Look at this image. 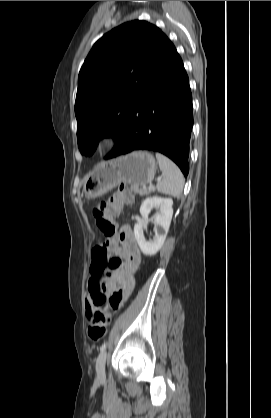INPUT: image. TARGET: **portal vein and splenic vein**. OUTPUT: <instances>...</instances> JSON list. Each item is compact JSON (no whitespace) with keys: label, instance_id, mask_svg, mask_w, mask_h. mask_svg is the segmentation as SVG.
<instances>
[{"label":"portal vein and splenic vein","instance_id":"18ae733b","mask_svg":"<svg viewBox=\"0 0 271 418\" xmlns=\"http://www.w3.org/2000/svg\"><path fill=\"white\" fill-rule=\"evenodd\" d=\"M160 180H161V178H158V179H157V181H160ZM152 188H153V185H152V184H150V185H149V189H152Z\"/></svg>","mask_w":271,"mask_h":418}]
</instances>
